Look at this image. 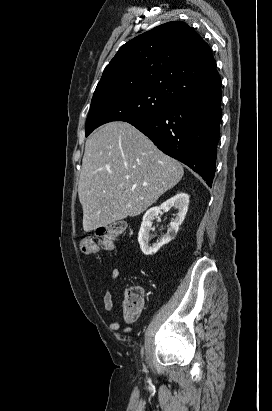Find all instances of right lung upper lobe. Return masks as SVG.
Wrapping results in <instances>:
<instances>
[{
	"instance_id": "cb5924a9",
	"label": "right lung upper lobe",
	"mask_w": 272,
	"mask_h": 411,
	"mask_svg": "<svg viewBox=\"0 0 272 411\" xmlns=\"http://www.w3.org/2000/svg\"><path fill=\"white\" fill-rule=\"evenodd\" d=\"M220 84L209 45L186 23L171 21L124 44L94 93L143 87L169 91L178 101Z\"/></svg>"
}]
</instances>
